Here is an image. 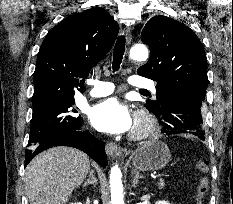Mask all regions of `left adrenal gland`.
I'll list each match as a JSON object with an SVG mask.
<instances>
[{"label":"left adrenal gland","instance_id":"1","mask_svg":"<svg viewBox=\"0 0 233 204\" xmlns=\"http://www.w3.org/2000/svg\"><path fill=\"white\" fill-rule=\"evenodd\" d=\"M132 174L134 175L133 176V181H132V187L136 188L139 179H142L143 176H141L137 170H134Z\"/></svg>","mask_w":233,"mask_h":204}]
</instances>
